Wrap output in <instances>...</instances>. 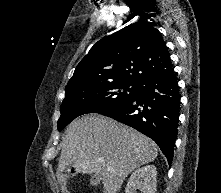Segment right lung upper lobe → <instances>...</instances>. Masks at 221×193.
Masks as SVG:
<instances>
[{
	"instance_id": "cb5924a9",
	"label": "right lung upper lobe",
	"mask_w": 221,
	"mask_h": 193,
	"mask_svg": "<svg viewBox=\"0 0 221 193\" xmlns=\"http://www.w3.org/2000/svg\"><path fill=\"white\" fill-rule=\"evenodd\" d=\"M133 23L98 41L77 65L66 89L140 82L173 70L166 44L152 19Z\"/></svg>"
}]
</instances>
